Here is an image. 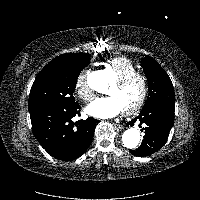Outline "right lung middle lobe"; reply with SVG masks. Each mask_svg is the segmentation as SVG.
Listing matches in <instances>:
<instances>
[{
    "label": "right lung middle lobe",
    "instance_id": "right-lung-middle-lobe-1",
    "mask_svg": "<svg viewBox=\"0 0 200 200\" xmlns=\"http://www.w3.org/2000/svg\"><path fill=\"white\" fill-rule=\"evenodd\" d=\"M87 54L72 56L43 70L35 78L29 95V110L51 105L71 106L76 103L73 92L82 69L88 66Z\"/></svg>",
    "mask_w": 200,
    "mask_h": 200
}]
</instances>
